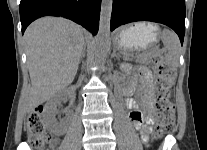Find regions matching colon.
<instances>
[{"label": "colon", "mask_w": 207, "mask_h": 150, "mask_svg": "<svg viewBox=\"0 0 207 150\" xmlns=\"http://www.w3.org/2000/svg\"><path fill=\"white\" fill-rule=\"evenodd\" d=\"M156 71V123L157 137L169 134L175 130V116L169 99V88L175 75V69L158 54L153 59ZM25 130L28 140L36 148L43 149L53 143L50 132L42 120V110H33L26 121Z\"/></svg>", "instance_id": "5ec220e1"}]
</instances>
